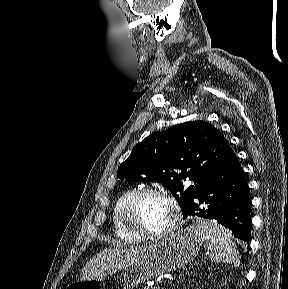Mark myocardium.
<instances>
[{
    "instance_id": "1",
    "label": "myocardium",
    "mask_w": 288,
    "mask_h": 289,
    "mask_svg": "<svg viewBox=\"0 0 288 289\" xmlns=\"http://www.w3.org/2000/svg\"><path fill=\"white\" fill-rule=\"evenodd\" d=\"M144 196H156L165 200L172 210V221L163 230L154 233H146L137 229L131 222L130 213L136 202ZM180 206L173 196L168 192L152 187H145L135 191L123 204L120 210V219L123 228L138 240H159L172 235L179 227L180 223Z\"/></svg>"
}]
</instances>
